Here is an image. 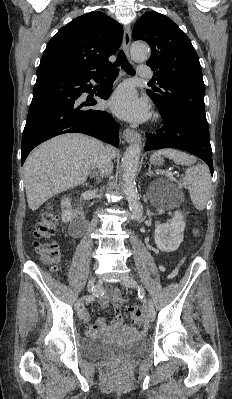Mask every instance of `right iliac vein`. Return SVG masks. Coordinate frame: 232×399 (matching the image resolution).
I'll return each mask as SVG.
<instances>
[{"instance_id":"obj_1","label":"right iliac vein","mask_w":232,"mask_h":399,"mask_svg":"<svg viewBox=\"0 0 232 399\" xmlns=\"http://www.w3.org/2000/svg\"><path fill=\"white\" fill-rule=\"evenodd\" d=\"M96 279L94 276H91L88 280L87 288L91 289L93 285H95ZM78 319H85V311L83 308H80L78 311Z\"/></svg>"}]
</instances>
